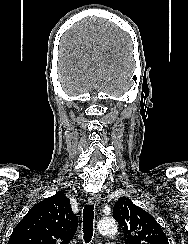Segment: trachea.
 <instances>
[{
  "instance_id": "3493384b",
  "label": "trachea",
  "mask_w": 188,
  "mask_h": 244,
  "mask_svg": "<svg viewBox=\"0 0 188 244\" xmlns=\"http://www.w3.org/2000/svg\"><path fill=\"white\" fill-rule=\"evenodd\" d=\"M94 204L86 205L83 209V236L85 243H89L93 236Z\"/></svg>"
}]
</instances>
